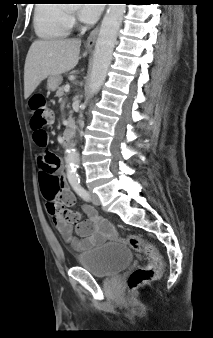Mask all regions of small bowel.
Masks as SVG:
<instances>
[{"mask_svg":"<svg viewBox=\"0 0 213 338\" xmlns=\"http://www.w3.org/2000/svg\"><path fill=\"white\" fill-rule=\"evenodd\" d=\"M46 155L49 159V165L57 169L56 173L59 175L58 181L63 192V205L67 210L72 211V208L76 203V197L74 193L68 190L63 170L58 169L60 160L51 153H46ZM40 180L42 187L45 189L46 180L41 173ZM82 210L87 215V219L81 220L80 213L78 211H73L78 216L76 223L69 222L66 219V215L63 213H57L54 217L57 230L76 252L86 251L94 245L100 244L106 240L114 239V230L108 220L99 217L95 209L91 206L84 205ZM72 224H75L74 230L76 236L73 235Z\"/></svg>","mask_w":213,"mask_h":338,"instance_id":"obj_1","label":"small bowel"}]
</instances>
